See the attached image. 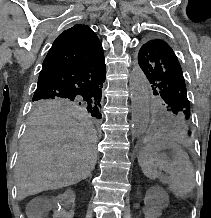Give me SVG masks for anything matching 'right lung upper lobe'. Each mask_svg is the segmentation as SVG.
I'll return each instance as SVG.
<instances>
[{"mask_svg":"<svg viewBox=\"0 0 211 218\" xmlns=\"http://www.w3.org/2000/svg\"><path fill=\"white\" fill-rule=\"evenodd\" d=\"M103 56L96 34L86 25L65 30L54 41L42 65L39 78L59 69Z\"/></svg>","mask_w":211,"mask_h":218,"instance_id":"cb5924a9","label":"right lung upper lobe"}]
</instances>
